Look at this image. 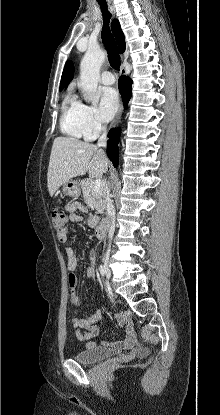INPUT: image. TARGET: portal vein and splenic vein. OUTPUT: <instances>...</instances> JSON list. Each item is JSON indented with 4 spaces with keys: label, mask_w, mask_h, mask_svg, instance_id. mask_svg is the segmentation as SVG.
Instances as JSON below:
<instances>
[{
    "label": "portal vein and splenic vein",
    "mask_w": 220,
    "mask_h": 415,
    "mask_svg": "<svg viewBox=\"0 0 220 415\" xmlns=\"http://www.w3.org/2000/svg\"><path fill=\"white\" fill-rule=\"evenodd\" d=\"M103 187V181L100 178H97L94 181V190L99 191Z\"/></svg>",
    "instance_id": "obj_1"
}]
</instances>
